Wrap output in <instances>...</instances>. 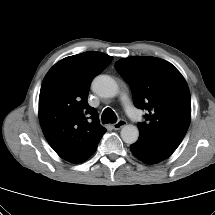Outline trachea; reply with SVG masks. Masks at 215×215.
Returning <instances> with one entry per match:
<instances>
[{"label":"trachea","instance_id":"obj_1","mask_svg":"<svg viewBox=\"0 0 215 215\" xmlns=\"http://www.w3.org/2000/svg\"><path fill=\"white\" fill-rule=\"evenodd\" d=\"M117 121V116L111 108H106L102 114V122L104 124L107 123H115Z\"/></svg>","mask_w":215,"mask_h":215}]
</instances>
